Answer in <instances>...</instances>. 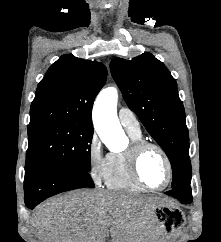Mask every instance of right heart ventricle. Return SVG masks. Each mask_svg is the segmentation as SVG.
<instances>
[{
    "instance_id": "e07e8e85",
    "label": "right heart ventricle",
    "mask_w": 221,
    "mask_h": 242,
    "mask_svg": "<svg viewBox=\"0 0 221 242\" xmlns=\"http://www.w3.org/2000/svg\"><path fill=\"white\" fill-rule=\"evenodd\" d=\"M127 131L133 142L142 140L141 132ZM127 150L108 154L104 174L105 185L112 190L143 191L144 188L133 179L130 173Z\"/></svg>"
}]
</instances>
